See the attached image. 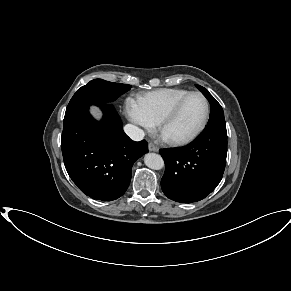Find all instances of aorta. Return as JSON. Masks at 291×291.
I'll list each match as a JSON object with an SVG mask.
<instances>
[{"label":"aorta","mask_w":291,"mask_h":291,"mask_svg":"<svg viewBox=\"0 0 291 291\" xmlns=\"http://www.w3.org/2000/svg\"><path fill=\"white\" fill-rule=\"evenodd\" d=\"M145 165L153 170H160L164 167L163 158L156 153H148L144 156Z\"/></svg>","instance_id":"1"}]
</instances>
